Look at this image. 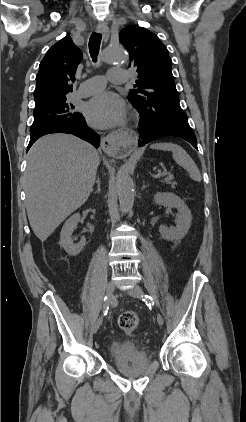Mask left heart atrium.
<instances>
[{
    "mask_svg": "<svg viewBox=\"0 0 246 422\" xmlns=\"http://www.w3.org/2000/svg\"><path fill=\"white\" fill-rule=\"evenodd\" d=\"M86 116L89 123L94 127H115L125 120V104L117 94L102 92L87 103Z\"/></svg>",
    "mask_w": 246,
    "mask_h": 422,
    "instance_id": "39dd6f15",
    "label": "left heart atrium"
}]
</instances>
